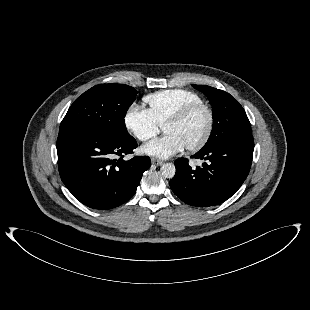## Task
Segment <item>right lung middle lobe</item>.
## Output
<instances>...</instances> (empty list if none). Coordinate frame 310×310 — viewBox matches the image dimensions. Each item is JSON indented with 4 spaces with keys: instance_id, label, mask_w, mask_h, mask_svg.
<instances>
[{
    "instance_id": "dd1d6c3e",
    "label": "right lung middle lobe",
    "mask_w": 310,
    "mask_h": 310,
    "mask_svg": "<svg viewBox=\"0 0 310 310\" xmlns=\"http://www.w3.org/2000/svg\"><path fill=\"white\" fill-rule=\"evenodd\" d=\"M137 91L125 84H99L78 97L61 122L59 132L80 130L112 139L129 137L124 117Z\"/></svg>"
}]
</instances>
